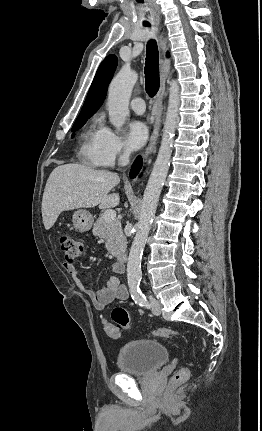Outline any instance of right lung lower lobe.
I'll return each mask as SVG.
<instances>
[{
	"mask_svg": "<svg viewBox=\"0 0 262 431\" xmlns=\"http://www.w3.org/2000/svg\"><path fill=\"white\" fill-rule=\"evenodd\" d=\"M141 167H142V158L138 157L132 166V169L130 171V177L134 178L138 174Z\"/></svg>",
	"mask_w": 262,
	"mask_h": 431,
	"instance_id": "98d812e1",
	"label": "right lung lower lobe"
}]
</instances>
